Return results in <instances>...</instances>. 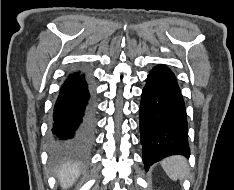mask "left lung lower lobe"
<instances>
[{"label": "left lung lower lobe", "mask_w": 234, "mask_h": 190, "mask_svg": "<svg viewBox=\"0 0 234 190\" xmlns=\"http://www.w3.org/2000/svg\"><path fill=\"white\" fill-rule=\"evenodd\" d=\"M186 108L174 73L164 65L149 73L140 103V139L146 170L169 155L189 157Z\"/></svg>", "instance_id": "obj_1"}]
</instances>
